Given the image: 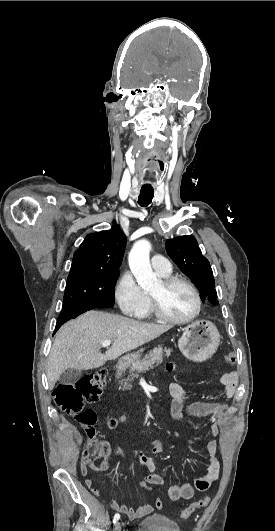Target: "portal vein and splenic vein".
I'll return each mask as SVG.
<instances>
[{
  "mask_svg": "<svg viewBox=\"0 0 275 531\" xmlns=\"http://www.w3.org/2000/svg\"><path fill=\"white\" fill-rule=\"evenodd\" d=\"M112 341H103L101 347H106L108 349L109 345H111Z\"/></svg>",
  "mask_w": 275,
  "mask_h": 531,
  "instance_id": "18ae733b",
  "label": "portal vein and splenic vein"
}]
</instances>
